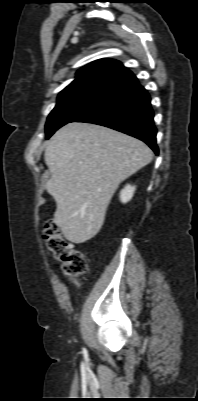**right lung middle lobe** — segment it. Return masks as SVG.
Instances as JSON below:
<instances>
[{"label":"right lung middle lobe","instance_id":"dd1d6c3e","mask_svg":"<svg viewBox=\"0 0 198 401\" xmlns=\"http://www.w3.org/2000/svg\"><path fill=\"white\" fill-rule=\"evenodd\" d=\"M110 90L82 89L58 96L57 104L48 116L46 139L63 125L77 121L95 109Z\"/></svg>","mask_w":198,"mask_h":401}]
</instances>
